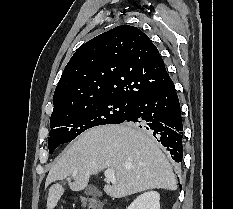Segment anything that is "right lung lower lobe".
<instances>
[{"mask_svg": "<svg viewBox=\"0 0 233 209\" xmlns=\"http://www.w3.org/2000/svg\"><path fill=\"white\" fill-rule=\"evenodd\" d=\"M123 122L149 130L176 162L183 157V124L175 86L169 78L155 91L137 97Z\"/></svg>", "mask_w": 233, "mask_h": 209, "instance_id": "1", "label": "right lung lower lobe"}]
</instances>
